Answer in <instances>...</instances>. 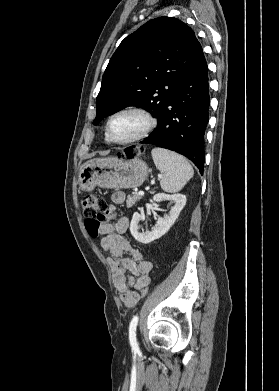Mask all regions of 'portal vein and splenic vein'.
I'll list each match as a JSON object with an SVG mask.
<instances>
[{
  "label": "portal vein and splenic vein",
  "instance_id": "portal-vein-and-splenic-vein-1",
  "mask_svg": "<svg viewBox=\"0 0 279 391\" xmlns=\"http://www.w3.org/2000/svg\"><path fill=\"white\" fill-rule=\"evenodd\" d=\"M138 194L142 196V195H144V192L143 191H139Z\"/></svg>",
  "mask_w": 279,
  "mask_h": 391
}]
</instances>
